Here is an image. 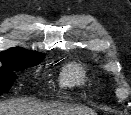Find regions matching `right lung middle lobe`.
I'll list each match as a JSON object with an SVG mask.
<instances>
[{
    "instance_id": "right-lung-middle-lobe-1",
    "label": "right lung middle lobe",
    "mask_w": 131,
    "mask_h": 115,
    "mask_svg": "<svg viewBox=\"0 0 131 115\" xmlns=\"http://www.w3.org/2000/svg\"><path fill=\"white\" fill-rule=\"evenodd\" d=\"M43 56H25L12 62L6 69H0V95L7 92L12 86L16 75L15 71L24 70L28 67L35 66L43 60Z\"/></svg>"
}]
</instances>
